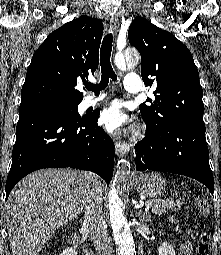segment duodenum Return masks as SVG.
<instances>
[{"instance_id":"1","label":"duodenum","mask_w":221,"mask_h":255,"mask_svg":"<svg viewBox=\"0 0 221 255\" xmlns=\"http://www.w3.org/2000/svg\"><path fill=\"white\" fill-rule=\"evenodd\" d=\"M72 244L80 251L81 255H92L91 251L81 244V237L77 232L72 233Z\"/></svg>"}]
</instances>
